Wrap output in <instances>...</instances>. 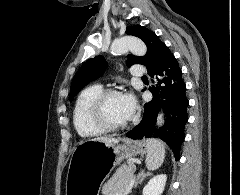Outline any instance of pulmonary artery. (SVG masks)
I'll return each mask as SVG.
<instances>
[{
	"label": "pulmonary artery",
	"instance_id": "1",
	"mask_svg": "<svg viewBox=\"0 0 240 195\" xmlns=\"http://www.w3.org/2000/svg\"><path fill=\"white\" fill-rule=\"evenodd\" d=\"M131 73L134 78H137L141 74H146L147 70L142 65H133V69L131 70Z\"/></svg>",
	"mask_w": 240,
	"mask_h": 195
}]
</instances>
